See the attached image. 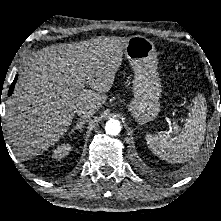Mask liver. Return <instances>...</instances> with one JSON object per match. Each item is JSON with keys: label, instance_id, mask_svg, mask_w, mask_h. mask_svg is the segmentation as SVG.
Listing matches in <instances>:
<instances>
[{"label": "liver", "instance_id": "liver-1", "mask_svg": "<svg viewBox=\"0 0 221 221\" xmlns=\"http://www.w3.org/2000/svg\"><path fill=\"white\" fill-rule=\"evenodd\" d=\"M128 40L98 37L61 43L28 57L5 115V130L17 156L31 159L54 146L78 107L103 106Z\"/></svg>", "mask_w": 221, "mask_h": 221}]
</instances>
